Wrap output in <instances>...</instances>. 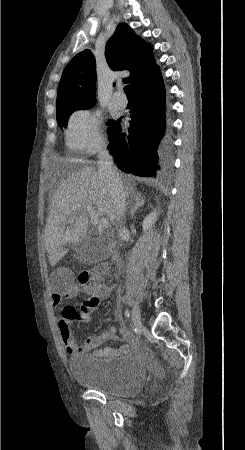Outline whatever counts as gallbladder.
Masks as SVG:
<instances>
[{
  "mask_svg": "<svg viewBox=\"0 0 245 450\" xmlns=\"http://www.w3.org/2000/svg\"><path fill=\"white\" fill-rule=\"evenodd\" d=\"M108 256L106 246L94 241H88L78 249V258L82 262H95Z\"/></svg>",
  "mask_w": 245,
  "mask_h": 450,
  "instance_id": "gallbladder-1",
  "label": "gallbladder"
}]
</instances>
